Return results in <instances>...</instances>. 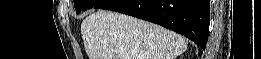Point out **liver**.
<instances>
[{
	"mask_svg": "<svg viewBox=\"0 0 261 59\" xmlns=\"http://www.w3.org/2000/svg\"><path fill=\"white\" fill-rule=\"evenodd\" d=\"M81 34L89 59H175L187 48L175 32L106 10L87 16Z\"/></svg>",
	"mask_w": 261,
	"mask_h": 59,
	"instance_id": "liver-1",
	"label": "liver"
}]
</instances>
